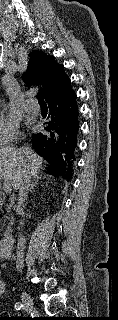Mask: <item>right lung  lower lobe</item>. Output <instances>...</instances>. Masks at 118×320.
Wrapping results in <instances>:
<instances>
[{"label":"right lung lower lobe","mask_w":118,"mask_h":320,"mask_svg":"<svg viewBox=\"0 0 118 320\" xmlns=\"http://www.w3.org/2000/svg\"><path fill=\"white\" fill-rule=\"evenodd\" d=\"M46 132L33 134L32 146L49 164L47 173L71 180L79 131L76 94L71 86L47 100Z\"/></svg>","instance_id":"right-lung-lower-lobe-1"}]
</instances>
